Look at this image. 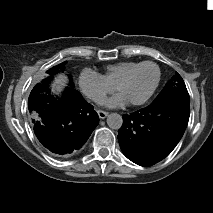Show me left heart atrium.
<instances>
[{"label":"left heart atrium","instance_id":"obj_1","mask_svg":"<svg viewBox=\"0 0 213 213\" xmlns=\"http://www.w3.org/2000/svg\"><path fill=\"white\" fill-rule=\"evenodd\" d=\"M127 103L126 98L121 93H117L105 102V106L115 108L122 107Z\"/></svg>","mask_w":213,"mask_h":213}]
</instances>
